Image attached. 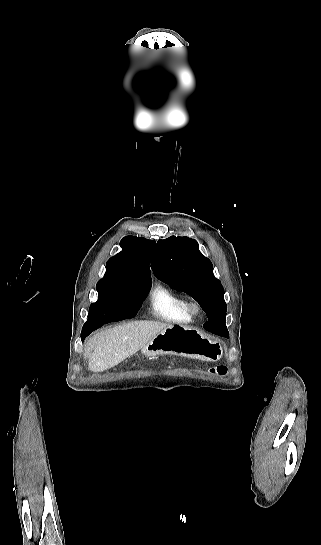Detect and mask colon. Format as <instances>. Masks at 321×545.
Returning <instances> with one entry per match:
<instances>
[{"label": "colon", "mask_w": 321, "mask_h": 545, "mask_svg": "<svg viewBox=\"0 0 321 545\" xmlns=\"http://www.w3.org/2000/svg\"><path fill=\"white\" fill-rule=\"evenodd\" d=\"M210 372L215 375H225L227 373V367L224 365H217L212 368H210Z\"/></svg>", "instance_id": "1"}]
</instances>
